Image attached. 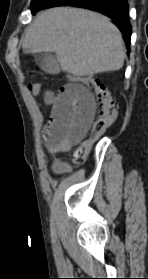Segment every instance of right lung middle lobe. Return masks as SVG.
<instances>
[{
  "mask_svg": "<svg viewBox=\"0 0 148 279\" xmlns=\"http://www.w3.org/2000/svg\"><path fill=\"white\" fill-rule=\"evenodd\" d=\"M47 2H48V0H32V2H31L32 14H35L37 11L43 9L44 5Z\"/></svg>",
  "mask_w": 148,
  "mask_h": 279,
  "instance_id": "obj_1",
  "label": "right lung middle lobe"
}]
</instances>
